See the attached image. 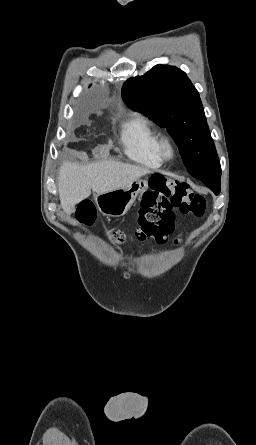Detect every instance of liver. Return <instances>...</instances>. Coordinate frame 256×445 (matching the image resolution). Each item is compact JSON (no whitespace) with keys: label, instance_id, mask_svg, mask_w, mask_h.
<instances>
[{"label":"liver","instance_id":"liver-1","mask_svg":"<svg viewBox=\"0 0 256 445\" xmlns=\"http://www.w3.org/2000/svg\"><path fill=\"white\" fill-rule=\"evenodd\" d=\"M149 169L116 161H100L88 165L64 162L59 170L58 193L66 213L89 197L91 190L102 194L124 188L146 174Z\"/></svg>","mask_w":256,"mask_h":445}]
</instances>
